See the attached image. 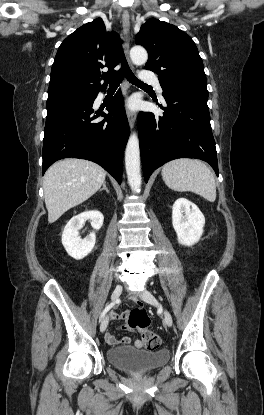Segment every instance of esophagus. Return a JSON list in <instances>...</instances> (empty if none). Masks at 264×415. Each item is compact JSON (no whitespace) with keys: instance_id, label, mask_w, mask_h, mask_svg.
I'll return each instance as SVG.
<instances>
[{"instance_id":"34e87169","label":"esophagus","mask_w":264,"mask_h":415,"mask_svg":"<svg viewBox=\"0 0 264 415\" xmlns=\"http://www.w3.org/2000/svg\"><path fill=\"white\" fill-rule=\"evenodd\" d=\"M122 26H123V34H124V52L125 55L127 57V60L130 63L129 60V31H130V15L127 11H125L122 15ZM131 67L132 64L130 63ZM136 113L132 112V111H127V118H128V122L131 128L134 127L135 121H136Z\"/></svg>"}]
</instances>
